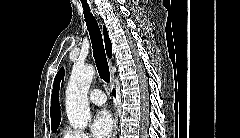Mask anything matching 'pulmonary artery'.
Wrapping results in <instances>:
<instances>
[{"instance_id": "1", "label": "pulmonary artery", "mask_w": 240, "mask_h": 138, "mask_svg": "<svg viewBox=\"0 0 240 138\" xmlns=\"http://www.w3.org/2000/svg\"><path fill=\"white\" fill-rule=\"evenodd\" d=\"M89 98L90 101L97 106H103L106 103L105 94L100 89H94L90 93Z\"/></svg>"}]
</instances>
